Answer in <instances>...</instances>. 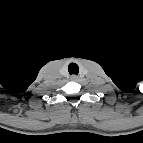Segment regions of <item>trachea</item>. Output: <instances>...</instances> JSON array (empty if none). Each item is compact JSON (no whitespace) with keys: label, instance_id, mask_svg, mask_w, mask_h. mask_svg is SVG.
<instances>
[{"label":"trachea","instance_id":"trachea-1","mask_svg":"<svg viewBox=\"0 0 143 143\" xmlns=\"http://www.w3.org/2000/svg\"><path fill=\"white\" fill-rule=\"evenodd\" d=\"M68 71L69 73L72 75H78L79 73V67L76 63H70L69 66H68Z\"/></svg>","mask_w":143,"mask_h":143}]
</instances>
